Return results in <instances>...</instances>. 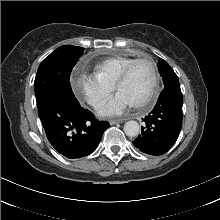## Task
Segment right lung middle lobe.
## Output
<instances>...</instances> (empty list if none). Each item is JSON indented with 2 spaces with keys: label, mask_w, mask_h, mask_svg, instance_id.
<instances>
[{
  "label": "right lung middle lobe",
  "mask_w": 220,
  "mask_h": 220,
  "mask_svg": "<svg viewBox=\"0 0 220 220\" xmlns=\"http://www.w3.org/2000/svg\"><path fill=\"white\" fill-rule=\"evenodd\" d=\"M83 51L82 47L64 45L41 62L34 82L37 106L58 93L76 99L71 89L70 75Z\"/></svg>",
  "instance_id": "dd1d6c3e"
}]
</instances>
